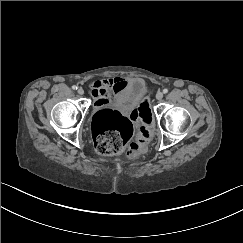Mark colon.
I'll use <instances>...</instances> for the list:
<instances>
[{
  "label": "colon",
  "instance_id": "colon-1",
  "mask_svg": "<svg viewBox=\"0 0 243 243\" xmlns=\"http://www.w3.org/2000/svg\"><path fill=\"white\" fill-rule=\"evenodd\" d=\"M141 124L137 138L133 140L134 130L129 119L118 111L103 108L92 117V130L97 151L106 156L122 154L135 157L146 148L152 135V112L147 101L136 112Z\"/></svg>",
  "mask_w": 243,
  "mask_h": 243
}]
</instances>
